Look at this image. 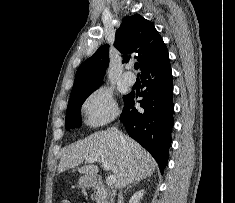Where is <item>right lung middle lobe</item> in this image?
<instances>
[{"mask_svg":"<svg viewBox=\"0 0 235 203\" xmlns=\"http://www.w3.org/2000/svg\"><path fill=\"white\" fill-rule=\"evenodd\" d=\"M102 83L92 85L78 92L72 93L69 99L65 127L67 130L77 128L81 125L80 110L86 98L95 91Z\"/></svg>","mask_w":235,"mask_h":203,"instance_id":"dd1d6c3e","label":"right lung middle lobe"}]
</instances>
